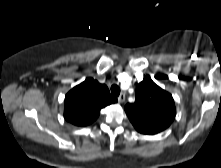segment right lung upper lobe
Here are the masks:
<instances>
[{"label":"right lung upper lobe","instance_id":"obj_1","mask_svg":"<svg viewBox=\"0 0 221 168\" xmlns=\"http://www.w3.org/2000/svg\"><path fill=\"white\" fill-rule=\"evenodd\" d=\"M115 102L106 85L87 78L66 94L64 118L75 126H87L98 118L102 108Z\"/></svg>","mask_w":221,"mask_h":168}]
</instances>
